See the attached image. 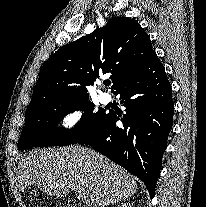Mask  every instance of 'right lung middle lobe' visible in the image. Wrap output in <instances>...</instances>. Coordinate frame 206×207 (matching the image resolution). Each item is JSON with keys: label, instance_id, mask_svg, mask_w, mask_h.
<instances>
[{"label": "right lung middle lobe", "instance_id": "1", "mask_svg": "<svg viewBox=\"0 0 206 207\" xmlns=\"http://www.w3.org/2000/svg\"><path fill=\"white\" fill-rule=\"evenodd\" d=\"M77 110L84 113L74 128L66 130L57 127L67 114ZM106 116L107 112L104 109L93 112V106L88 97L40 105L25 112L26 121L18 148L24 150L77 143L94 132Z\"/></svg>", "mask_w": 206, "mask_h": 207}]
</instances>
